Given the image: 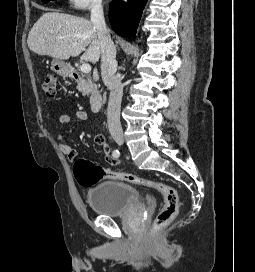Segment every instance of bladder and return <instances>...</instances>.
Listing matches in <instances>:
<instances>
[{"label":"bladder","instance_id":"1","mask_svg":"<svg viewBox=\"0 0 255 272\" xmlns=\"http://www.w3.org/2000/svg\"><path fill=\"white\" fill-rule=\"evenodd\" d=\"M86 199L96 214L107 217L123 215L140 202L135 187L117 180L98 183L87 191Z\"/></svg>","mask_w":255,"mask_h":272}]
</instances>
